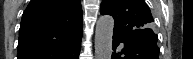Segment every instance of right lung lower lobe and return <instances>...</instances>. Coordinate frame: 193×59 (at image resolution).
I'll return each instance as SVG.
<instances>
[{
	"mask_svg": "<svg viewBox=\"0 0 193 59\" xmlns=\"http://www.w3.org/2000/svg\"><path fill=\"white\" fill-rule=\"evenodd\" d=\"M80 47L81 39L66 47L62 51L42 59H79Z\"/></svg>",
	"mask_w": 193,
	"mask_h": 59,
	"instance_id": "98d812e1",
	"label": "right lung lower lobe"
}]
</instances>
